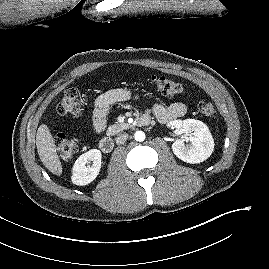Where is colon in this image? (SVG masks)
Masks as SVG:
<instances>
[{
	"label": "colon",
	"mask_w": 269,
	"mask_h": 269,
	"mask_svg": "<svg viewBox=\"0 0 269 269\" xmlns=\"http://www.w3.org/2000/svg\"><path fill=\"white\" fill-rule=\"evenodd\" d=\"M151 83L164 95H186V92L180 83L165 76L153 75L151 77ZM57 111L61 115L79 116L81 114L82 108L76 88L68 87L64 91L57 104ZM199 112L202 116L211 118L215 114V108L211 103H203L199 107ZM55 146L60 157L65 161L73 159L79 148L77 140L67 137L64 134H58L56 136Z\"/></svg>",
	"instance_id": "colon-1"
}]
</instances>
